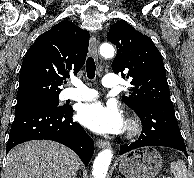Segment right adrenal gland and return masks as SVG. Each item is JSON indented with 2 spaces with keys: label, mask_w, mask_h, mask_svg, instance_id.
Here are the masks:
<instances>
[{
  "label": "right adrenal gland",
  "mask_w": 194,
  "mask_h": 178,
  "mask_svg": "<svg viewBox=\"0 0 194 178\" xmlns=\"http://www.w3.org/2000/svg\"><path fill=\"white\" fill-rule=\"evenodd\" d=\"M73 178H77V175H74Z\"/></svg>",
  "instance_id": "right-adrenal-gland-1"
}]
</instances>
